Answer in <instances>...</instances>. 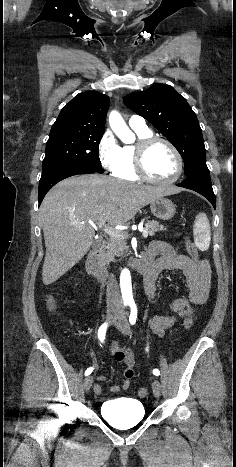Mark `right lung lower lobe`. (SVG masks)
Masks as SVG:
<instances>
[{"mask_svg": "<svg viewBox=\"0 0 236 467\" xmlns=\"http://www.w3.org/2000/svg\"><path fill=\"white\" fill-rule=\"evenodd\" d=\"M95 172L97 171L91 168L72 163L58 164L42 170V176L39 182V205L46 193L59 181L73 175Z\"/></svg>", "mask_w": 236, "mask_h": 467, "instance_id": "98d812e1", "label": "right lung lower lobe"}]
</instances>
